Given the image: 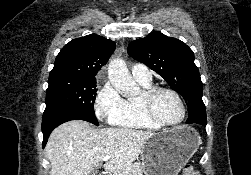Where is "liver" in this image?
I'll return each mask as SVG.
<instances>
[{
    "mask_svg": "<svg viewBox=\"0 0 251 175\" xmlns=\"http://www.w3.org/2000/svg\"><path fill=\"white\" fill-rule=\"evenodd\" d=\"M150 135L151 131L125 127L92 129L81 119L66 121L53 129L45 147L50 175H89L104 155H111L105 171H118L137 159Z\"/></svg>",
    "mask_w": 251,
    "mask_h": 175,
    "instance_id": "1",
    "label": "liver"
}]
</instances>
